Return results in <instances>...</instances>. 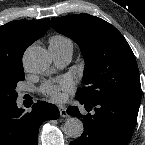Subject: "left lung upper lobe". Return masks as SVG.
Segmentation results:
<instances>
[{
    "instance_id": "1",
    "label": "left lung upper lobe",
    "mask_w": 145,
    "mask_h": 145,
    "mask_svg": "<svg viewBox=\"0 0 145 145\" xmlns=\"http://www.w3.org/2000/svg\"><path fill=\"white\" fill-rule=\"evenodd\" d=\"M52 26L73 39L85 58V87L77 91V98L92 103L116 96H141L135 56L114 26L89 14L52 18Z\"/></svg>"
}]
</instances>
